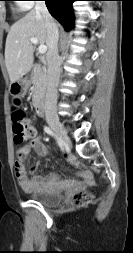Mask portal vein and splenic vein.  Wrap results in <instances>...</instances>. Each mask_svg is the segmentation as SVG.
<instances>
[{
  "label": "portal vein and splenic vein",
  "mask_w": 133,
  "mask_h": 253,
  "mask_svg": "<svg viewBox=\"0 0 133 253\" xmlns=\"http://www.w3.org/2000/svg\"><path fill=\"white\" fill-rule=\"evenodd\" d=\"M30 42L33 43V44H38V39L32 37V38H30ZM38 51H39L40 54L46 53V51H47L46 45H44V44L40 45L39 48H38Z\"/></svg>",
  "instance_id": "portal-vein-and-splenic-vein-1"
}]
</instances>
